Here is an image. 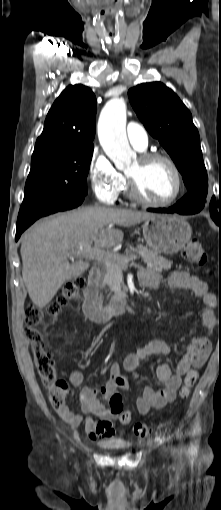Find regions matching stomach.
Here are the masks:
<instances>
[{"label": "stomach", "instance_id": "0dacf381", "mask_svg": "<svg viewBox=\"0 0 221 510\" xmlns=\"http://www.w3.org/2000/svg\"><path fill=\"white\" fill-rule=\"evenodd\" d=\"M191 235L189 223L177 215H155L143 224L147 245L158 253L176 254L189 242Z\"/></svg>", "mask_w": 221, "mask_h": 510}]
</instances>
